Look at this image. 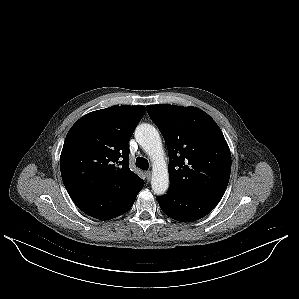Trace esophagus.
Segmentation results:
<instances>
[{"mask_svg": "<svg viewBox=\"0 0 299 299\" xmlns=\"http://www.w3.org/2000/svg\"><path fill=\"white\" fill-rule=\"evenodd\" d=\"M145 177H146L147 181H150V179H151V172L150 171H146L145 172Z\"/></svg>", "mask_w": 299, "mask_h": 299, "instance_id": "1", "label": "esophagus"}]
</instances>
